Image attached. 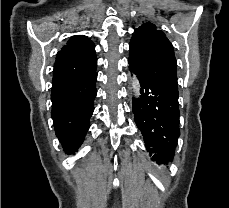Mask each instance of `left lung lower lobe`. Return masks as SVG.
Instances as JSON below:
<instances>
[{
  "mask_svg": "<svg viewBox=\"0 0 229 208\" xmlns=\"http://www.w3.org/2000/svg\"><path fill=\"white\" fill-rule=\"evenodd\" d=\"M128 63L140 83L141 96L133 102L136 125L151 159L158 164H167L174 157L180 136L178 94L141 74L130 60Z\"/></svg>",
  "mask_w": 229,
  "mask_h": 208,
  "instance_id": "left-lung-lower-lobe-1",
  "label": "left lung lower lobe"
}]
</instances>
